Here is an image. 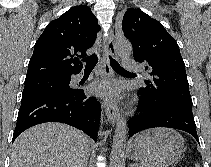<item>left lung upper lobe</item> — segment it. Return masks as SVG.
I'll return each instance as SVG.
<instances>
[{
  "instance_id": "1",
  "label": "left lung upper lobe",
  "mask_w": 211,
  "mask_h": 167,
  "mask_svg": "<svg viewBox=\"0 0 211 167\" xmlns=\"http://www.w3.org/2000/svg\"><path fill=\"white\" fill-rule=\"evenodd\" d=\"M122 28L133 46L134 59L145 63L152 76L139 93L152 104L173 105L192 111L185 64L175 39L160 22L138 8H129Z\"/></svg>"
}]
</instances>
